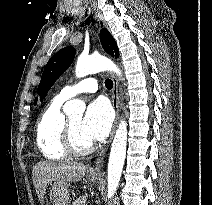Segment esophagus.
I'll return each instance as SVG.
<instances>
[{"label":"esophagus","mask_w":212,"mask_h":205,"mask_svg":"<svg viewBox=\"0 0 212 205\" xmlns=\"http://www.w3.org/2000/svg\"><path fill=\"white\" fill-rule=\"evenodd\" d=\"M96 27L98 30H100V24H96ZM112 80H113V89H112V105L113 108L115 109V113H116V117H115V121H114V125H113V129L112 132L110 134L109 139L107 140L106 144L104 145V147L100 150V152L97 155L95 164L92 168H90V174L93 175H98L100 174L101 171V166L103 164L106 152L109 148V145L112 142L117 124H118V120H119V115H120V97H119V89H118V81L117 78L114 74H112Z\"/></svg>","instance_id":"esophagus-1"}]
</instances>
